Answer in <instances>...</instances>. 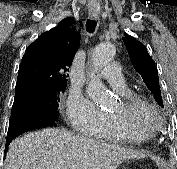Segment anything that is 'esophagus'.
<instances>
[{
	"label": "esophagus",
	"instance_id": "34e87169",
	"mask_svg": "<svg viewBox=\"0 0 177 169\" xmlns=\"http://www.w3.org/2000/svg\"><path fill=\"white\" fill-rule=\"evenodd\" d=\"M90 18H98L100 15V5H90L88 6Z\"/></svg>",
	"mask_w": 177,
	"mask_h": 169
}]
</instances>
